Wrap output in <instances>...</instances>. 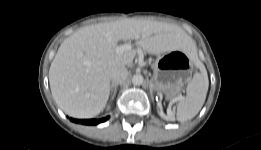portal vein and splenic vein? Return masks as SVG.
I'll return each mask as SVG.
<instances>
[{
    "mask_svg": "<svg viewBox=\"0 0 261 150\" xmlns=\"http://www.w3.org/2000/svg\"><path fill=\"white\" fill-rule=\"evenodd\" d=\"M128 50H131V45L129 43L121 45V46H117V48H116L117 53H122V52L128 51Z\"/></svg>",
    "mask_w": 261,
    "mask_h": 150,
    "instance_id": "18ae733b",
    "label": "portal vein and splenic vein"
}]
</instances>
